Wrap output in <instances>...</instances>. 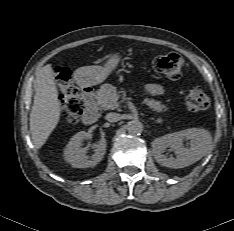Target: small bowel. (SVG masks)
I'll return each instance as SVG.
<instances>
[{
    "label": "small bowel",
    "mask_w": 234,
    "mask_h": 231,
    "mask_svg": "<svg viewBox=\"0 0 234 231\" xmlns=\"http://www.w3.org/2000/svg\"><path fill=\"white\" fill-rule=\"evenodd\" d=\"M146 91L152 95H161L164 92V89L159 84L148 85Z\"/></svg>",
    "instance_id": "1"
}]
</instances>
